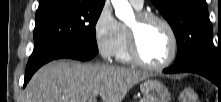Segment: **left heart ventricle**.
<instances>
[{"mask_svg":"<svg viewBox=\"0 0 221 102\" xmlns=\"http://www.w3.org/2000/svg\"><path fill=\"white\" fill-rule=\"evenodd\" d=\"M137 25L136 17L129 26ZM138 44L144 59L152 64L164 62L171 52V39L166 28L155 21L145 23L137 29Z\"/></svg>","mask_w":221,"mask_h":102,"instance_id":"b2bd125f","label":"left heart ventricle"}]
</instances>
